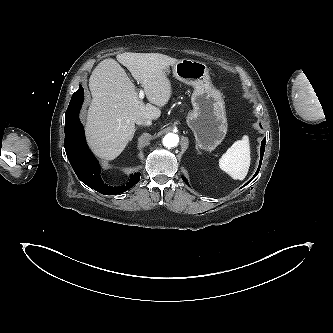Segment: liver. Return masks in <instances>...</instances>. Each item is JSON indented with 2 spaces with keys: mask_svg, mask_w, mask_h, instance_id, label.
<instances>
[{
  "mask_svg": "<svg viewBox=\"0 0 333 333\" xmlns=\"http://www.w3.org/2000/svg\"><path fill=\"white\" fill-rule=\"evenodd\" d=\"M142 85L150 103L138 97L125 70L112 58L104 59L89 79L92 102L86 121V134L92 151L102 159L113 160L132 139L135 122L145 117L156 120L159 107L167 104L172 87L164 70L179 60L159 53L125 52L116 56Z\"/></svg>",
  "mask_w": 333,
  "mask_h": 333,
  "instance_id": "liver-1",
  "label": "liver"
}]
</instances>
